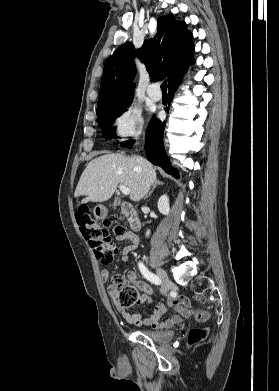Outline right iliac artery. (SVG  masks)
<instances>
[{
	"label": "right iliac artery",
	"instance_id": "82829eb1",
	"mask_svg": "<svg viewBox=\"0 0 279 391\" xmlns=\"http://www.w3.org/2000/svg\"><path fill=\"white\" fill-rule=\"evenodd\" d=\"M139 269L142 273V275L147 279L149 280L150 282L156 284V285H160L161 284V280L160 278L153 274L152 272H150L143 263H139Z\"/></svg>",
	"mask_w": 279,
	"mask_h": 391
}]
</instances>
